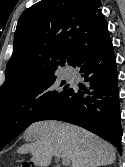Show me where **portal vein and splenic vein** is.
I'll use <instances>...</instances> for the list:
<instances>
[{
    "mask_svg": "<svg viewBox=\"0 0 125 167\" xmlns=\"http://www.w3.org/2000/svg\"><path fill=\"white\" fill-rule=\"evenodd\" d=\"M62 164L64 166H68V165H70V160L68 158H62Z\"/></svg>",
    "mask_w": 125,
    "mask_h": 167,
    "instance_id": "1",
    "label": "portal vein and splenic vein"
}]
</instances>
